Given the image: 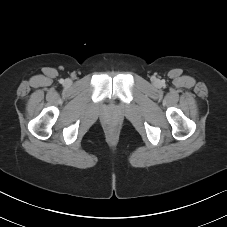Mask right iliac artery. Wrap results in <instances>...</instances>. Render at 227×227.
Returning a JSON list of instances; mask_svg holds the SVG:
<instances>
[{
  "label": "right iliac artery",
  "mask_w": 227,
  "mask_h": 227,
  "mask_svg": "<svg viewBox=\"0 0 227 227\" xmlns=\"http://www.w3.org/2000/svg\"><path fill=\"white\" fill-rule=\"evenodd\" d=\"M60 82H61V83H63V82H64V80L62 79V80H60Z\"/></svg>",
  "instance_id": "right-iliac-artery-1"
}]
</instances>
